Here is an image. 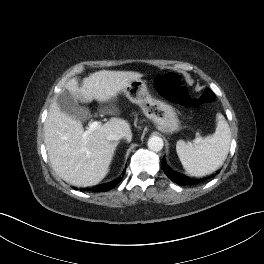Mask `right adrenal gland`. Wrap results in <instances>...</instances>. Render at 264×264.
<instances>
[{"instance_id": "1", "label": "right adrenal gland", "mask_w": 264, "mask_h": 264, "mask_svg": "<svg viewBox=\"0 0 264 264\" xmlns=\"http://www.w3.org/2000/svg\"><path fill=\"white\" fill-rule=\"evenodd\" d=\"M118 144H119V141L114 142V147L116 148Z\"/></svg>"}]
</instances>
